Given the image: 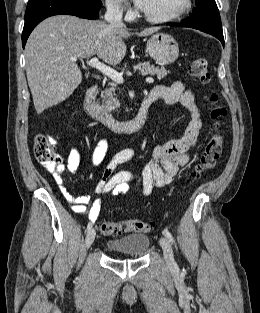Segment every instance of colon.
I'll list each match as a JSON object with an SVG mask.
<instances>
[{"label": "colon", "mask_w": 260, "mask_h": 313, "mask_svg": "<svg viewBox=\"0 0 260 313\" xmlns=\"http://www.w3.org/2000/svg\"><path fill=\"white\" fill-rule=\"evenodd\" d=\"M189 74L198 82L207 84L210 81L208 62L204 58L195 59L188 68ZM218 97L211 94L209 101L212 105L211 119L214 122V132L205 145L200 161L190 170L189 181L199 179L205 172L213 169L221 156L223 146V123L226 115L225 108L217 105ZM34 153L37 161L49 171H59L61 157L56 151V141L46 134H38L35 138ZM101 233L105 236H120L126 233H146L150 230L148 222L128 219L123 221H105L100 225Z\"/></svg>", "instance_id": "obj_1"}]
</instances>
